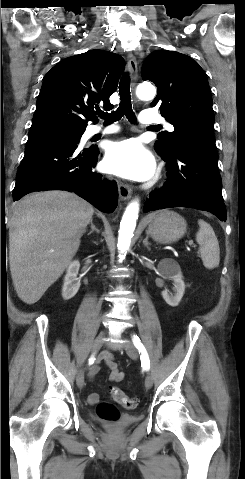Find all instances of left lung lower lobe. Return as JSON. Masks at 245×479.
<instances>
[{"instance_id":"obj_1","label":"left lung lower lobe","mask_w":245,"mask_h":479,"mask_svg":"<svg viewBox=\"0 0 245 479\" xmlns=\"http://www.w3.org/2000/svg\"><path fill=\"white\" fill-rule=\"evenodd\" d=\"M162 158L167 162L168 180L160 190L149 195L144 212L188 207L211 212L226 221L214 142H189L178 147L171 156Z\"/></svg>"}]
</instances>
